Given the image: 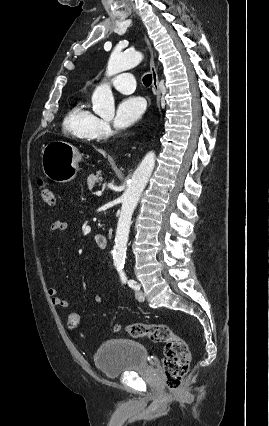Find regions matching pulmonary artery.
<instances>
[{
	"label": "pulmonary artery",
	"instance_id": "obj_1",
	"mask_svg": "<svg viewBox=\"0 0 269 426\" xmlns=\"http://www.w3.org/2000/svg\"><path fill=\"white\" fill-rule=\"evenodd\" d=\"M110 84L119 92L130 94L135 90V78L131 73H121L110 80Z\"/></svg>",
	"mask_w": 269,
	"mask_h": 426
}]
</instances>
